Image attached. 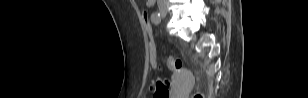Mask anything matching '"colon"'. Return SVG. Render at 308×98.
Here are the masks:
<instances>
[{
  "instance_id": "5ec220e1",
  "label": "colon",
  "mask_w": 308,
  "mask_h": 98,
  "mask_svg": "<svg viewBox=\"0 0 308 98\" xmlns=\"http://www.w3.org/2000/svg\"><path fill=\"white\" fill-rule=\"evenodd\" d=\"M140 14L143 16L144 21V29L147 32L149 36V57H150V63L153 68H156L157 66V52H156V46L155 42L153 40V32L155 29L154 24H151L150 16L146 15L147 11L145 9H142L140 11ZM166 64L168 68L172 71H178L182 67V62L180 59L175 57H168L166 59ZM152 90L154 93V98H168L169 97V83L165 80H157L154 85L152 86ZM193 98H203V95L201 93H196Z\"/></svg>"
}]
</instances>
